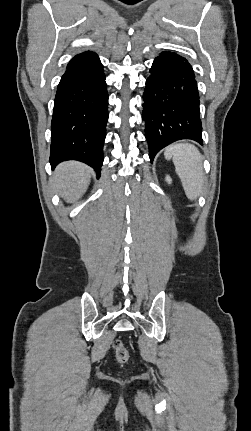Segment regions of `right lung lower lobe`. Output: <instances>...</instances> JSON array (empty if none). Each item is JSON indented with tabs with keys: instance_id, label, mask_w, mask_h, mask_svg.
<instances>
[{
	"instance_id": "right-lung-lower-lobe-1",
	"label": "right lung lower lobe",
	"mask_w": 251,
	"mask_h": 431,
	"mask_svg": "<svg viewBox=\"0 0 251 431\" xmlns=\"http://www.w3.org/2000/svg\"><path fill=\"white\" fill-rule=\"evenodd\" d=\"M108 93L103 66L90 51L68 63L57 87L51 123L50 164L84 162L100 176L108 120Z\"/></svg>"
}]
</instances>
